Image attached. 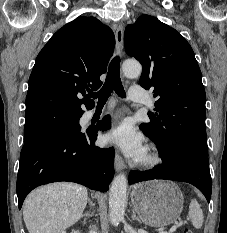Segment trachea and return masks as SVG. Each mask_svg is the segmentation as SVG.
Returning a JSON list of instances; mask_svg holds the SVG:
<instances>
[{
	"instance_id": "3493384b",
	"label": "trachea",
	"mask_w": 227,
	"mask_h": 233,
	"mask_svg": "<svg viewBox=\"0 0 227 233\" xmlns=\"http://www.w3.org/2000/svg\"><path fill=\"white\" fill-rule=\"evenodd\" d=\"M113 91H115L116 94L121 98H125L126 96L120 78L119 56H116L112 59L103 87L100 89V91L96 93H91L90 97L98 98L97 105L103 106Z\"/></svg>"
}]
</instances>
